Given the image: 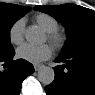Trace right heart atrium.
I'll use <instances>...</instances> for the list:
<instances>
[{
  "label": "right heart atrium",
  "mask_w": 95,
  "mask_h": 95,
  "mask_svg": "<svg viewBox=\"0 0 95 95\" xmlns=\"http://www.w3.org/2000/svg\"><path fill=\"white\" fill-rule=\"evenodd\" d=\"M25 21L23 18L17 19L9 28V39L11 43L19 45L24 40Z\"/></svg>",
  "instance_id": "d8ad5b80"
}]
</instances>
